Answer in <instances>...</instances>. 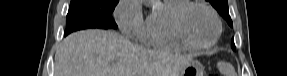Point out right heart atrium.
<instances>
[{"label": "right heart atrium", "instance_id": "1", "mask_svg": "<svg viewBox=\"0 0 287 76\" xmlns=\"http://www.w3.org/2000/svg\"><path fill=\"white\" fill-rule=\"evenodd\" d=\"M114 16L123 34L139 39L144 26L140 0H120Z\"/></svg>", "mask_w": 287, "mask_h": 76}]
</instances>
